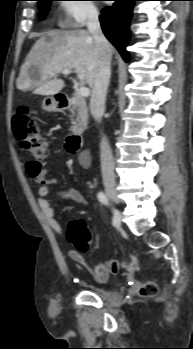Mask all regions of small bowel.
<instances>
[{
    "instance_id": "obj_1",
    "label": "small bowel",
    "mask_w": 193,
    "mask_h": 349,
    "mask_svg": "<svg viewBox=\"0 0 193 349\" xmlns=\"http://www.w3.org/2000/svg\"><path fill=\"white\" fill-rule=\"evenodd\" d=\"M90 161L91 159L89 156H84L80 159V162L84 167H88L90 165ZM27 172L39 185L37 203L44 218L55 232L64 237L62 227L57 220L54 209L48 199L50 194V185L54 184V180L48 176L47 168H45L41 163L34 161L29 162L27 164ZM60 195L62 198L73 201L77 204H86L84 197L76 189H64L60 192ZM69 257L75 263L87 267L93 279L99 284L106 283L110 274L117 273L119 270L118 264L112 260L90 266L84 256L75 250L69 251Z\"/></svg>"
}]
</instances>
